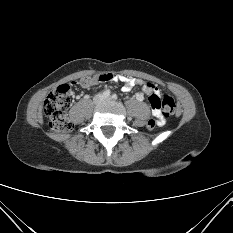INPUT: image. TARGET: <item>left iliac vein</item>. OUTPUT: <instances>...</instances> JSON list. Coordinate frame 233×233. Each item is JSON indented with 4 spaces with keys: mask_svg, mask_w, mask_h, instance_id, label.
Segmentation results:
<instances>
[{
    "mask_svg": "<svg viewBox=\"0 0 233 233\" xmlns=\"http://www.w3.org/2000/svg\"><path fill=\"white\" fill-rule=\"evenodd\" d=\"M105 100H110V97H106Z\"/></svg>",
    "mask_w": 233,
    "mask_h": 233,
    "instance_id": "1",
    "label": "left iliac vein"
}]
</instances>
